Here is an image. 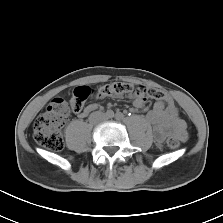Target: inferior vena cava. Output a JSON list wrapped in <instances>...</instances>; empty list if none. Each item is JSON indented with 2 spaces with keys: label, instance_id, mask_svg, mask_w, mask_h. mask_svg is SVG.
<instances>
[{
  "label": "inferior vena cava",
  "instance_id": "602c4592",
  "mask_svg": "<svg viewBox=\"0 0 223 223\" xmlns=\"http://www.w3.org/2000/svg\"><path fill=\"white\" fill-rule=\"evenodd\" d=\"M99 117L100 119L103 118V114L99 113V112H95L93 114H91L90 119L91 121H94V118Z\"/></svg>",
  "mask_w": 223,
  "mask_h": 223
}]
</instances>
